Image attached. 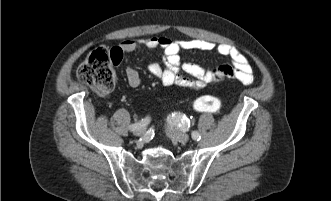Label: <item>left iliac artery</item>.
<instances>
[{
	"label": "left iliac artery",
	"mask_w": 331,
	"mask_h": 201,
	"mask_svg": "<svg viewBox=\"0 0 331 201\" xmlns=\"http://www.w3.org/2000/svg\"><path fill=\"white\" fill-rule=\"evenodd\" d=\"M192 118V117H191ZM168 123L176 129L182 131H188L192 125L190 119L180 112H174L168 116ZM192 138L194 140H200L201 136L197 131L192 132Z\"/></svg>",
	"instance_id": "44dca946"
}]
</instances>
